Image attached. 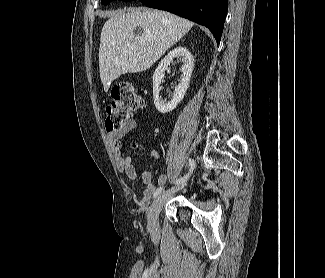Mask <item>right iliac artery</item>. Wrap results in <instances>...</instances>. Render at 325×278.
Returning <instances> with one entry per match:
<instances>
[{
    "mask_svg": "<svg viewBox=\"0 0 325 278\" xmlns=\"http://www.w3.org/2000/svg\"><path fill=\"white\" fill-rule=\"evenodd\" d=\"M189 165H190V170H189V173L187 175H185L184 177H181L179 179H176L173 183L175 184H181V183H184L190 176V174L193 172L194 168H195V161L193 159H189ZM163 190V187H159L157 188V190L155 191L153 197H157L159 194H161Z\"/></svg>",
    "mask_w": 325,
    "mask_h": 278,
    "instance_id": "right-iliac-artery-1",
    "label": "right iliac artery"
}]
</instances>
